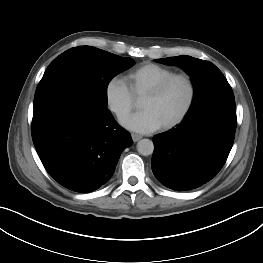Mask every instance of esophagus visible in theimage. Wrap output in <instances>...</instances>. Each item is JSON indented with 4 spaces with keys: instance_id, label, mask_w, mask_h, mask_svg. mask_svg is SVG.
Wrapping results in <instances>:
<instances>
[{
    "instance_id": "1",
    "label": "esophagus",
    "mask_w": 263,
    "mask_h": 263,
    "mask_svg": "<svg viewBox=\"0 0 263 263\" xmlns=\"http://www.w3.org/2000/svg\"><path fill=\"white\" fill-rule=\"evenodd\" d=\"M131 137H132V140H133L134 142H137V141H139V140L142 138L141 135L134 134V133L131 134Z\"/></svg>"
}]
</instances>
